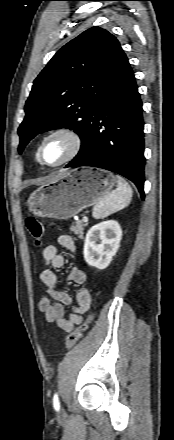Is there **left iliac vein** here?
I'll use <instances>...</instances> for the list:
<instances>
[{"label":"left iliac vein","instance_id":"obj_1","mask_svg":"<svg viewBox=\"0 0 174 440\" xmlns=\"http://www.w3.org/2000/svg\"><path fill=\"white\" fill-rule=\"evenodd\" d=\"M60 412H61V413H63V412H64V410H63V409H61V410H60Z\"/></svg>","mask_w":174,"mask_h":440}]
</instances>
